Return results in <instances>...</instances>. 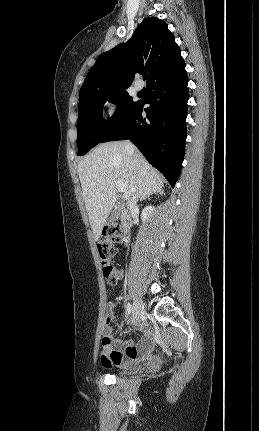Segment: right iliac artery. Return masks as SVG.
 Masks as SVG:
<instances>
[{
	"label": "right iliac artery",
	"instance_id": "82829eb1",
	"mask_svg": "<svg viewBox=\"0 0 259 431\" xmlns=\"http://www.w3.org/2000/svg\"><path fill=\"white\" fill-rule=\"evenodd\" d=\"M126 309H127V314H128V315H130V314H131V312H132V306H131V304H130V303H127V305H126Z\"/></svg>",
	"mask_w": 259,
	"mask_h": 431
}]
</instances>
